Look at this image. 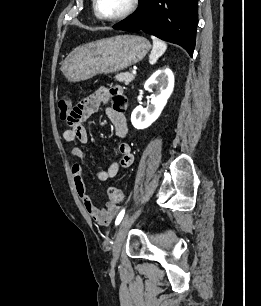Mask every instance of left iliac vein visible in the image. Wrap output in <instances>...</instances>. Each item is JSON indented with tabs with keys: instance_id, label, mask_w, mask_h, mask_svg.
<instances>
[{
	"instance_id": "obj_1",
	"label": "left iliac vein",
	"mask_w": 261,
	"mask_h": 306,
	"mask_svg": "<svg viewBox=\"0 0 261 306\" xmlns=\"http://www.w3.org/2000/svg\"><path fill=\"white\" fill-rule=\"evenodd\" d=\"M142 212V208H139L136 212H134L130 216H126L116 234L114 244L112 247V253H113V263H115L120 255V250L122 247V244L126 238L127 232L130 229L131 225L134 223V221L139 217V215Z\"/></svg>"
}]
</instances>
